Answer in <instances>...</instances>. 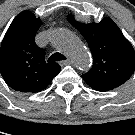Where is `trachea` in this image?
Segmentation results:
<instances>
[{
  "label": "trachea",
  "mask_w": 135,
  "mask_h": 135,
  "mask_svg": "<svg viewBox=\"0 0 135 135\" xmlns=\"http://www.w3.org/2000/svg\"><path fill=\"white\" fill-rule=\"evenodd\" d=\"M61 60H66V57L63 54L56 52L49 57L48 62L61 61Z\"/></svg>",
  "instance_id": "obj_1"
}]
</instances>
